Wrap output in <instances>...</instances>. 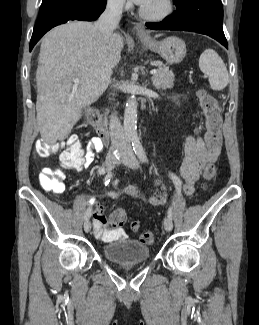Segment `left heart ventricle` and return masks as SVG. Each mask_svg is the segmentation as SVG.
<instances>
[{"label":"left heart ventricle","instance_id":"obj_1","mask_svg":"<svg viewBox=\"0 0 259 325\" xmlns=\"http://www.w3.org/2000/svg\"><path fill=\"white\" fill-rule=\"evenodd\" d=\"M145 7L149 11H158L161 8V0H151Z\"/></svg>","mask_w":259,"mask_h":325}]
</instances>
